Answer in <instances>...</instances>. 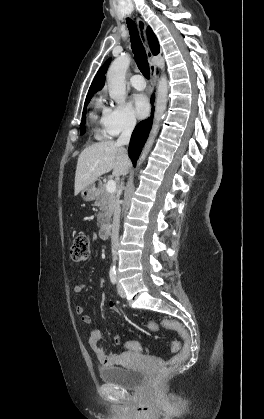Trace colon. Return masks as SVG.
Returning <instances> with one entry per match:
<instances>
[{"mask_svg": "<svg viewBox=\"0 0 264 419\" xmlns=\"http://www.w3.org/2000/svg\"><path fill=\"white\" fill-rule=\"evenodd\" d=\"M90 253V243L86 235H78L75 237L70 254L71 258L75 262L86 261ZM151 331H158L161 327L176 331L183 339V345L179 342L174 341L171 345V350L176 354L167 360L161 367L159 377H165L173 373L180 363L188 356L191 346V340L187 330L177 321L173 320H151L148 324ZM133 349L144 351L143 346L140 343L134 342L131 346Z\"/></svg>", "mask_w": 264, "mask_h": 419, "instance_id": "5ec220e1", "label": "colon"}]
</instances>
